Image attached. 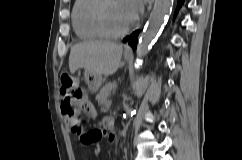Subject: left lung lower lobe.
<instances>
[{"mask_svg":"<svg viewBox=\"0 0 242 160\" xmlns=\"http://www.w3.org/2000/svg\"><path fill=\"white\" fill-rule=\"evenodd\" d=\"M183 2H184V0H178V5H177L175 15L178 12L179 8L182 6ZM138 33H139V31L133 32L130 36L124 38L123 42H128V44L130 46L136 47Z\"/></svg>","mask_w":242,"mask_h":160,"instance_id":"obj_1","label":"left lung lower lobe"}]
</instances>
